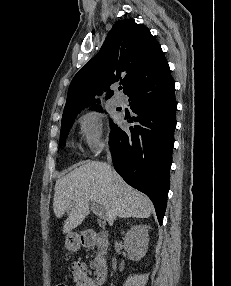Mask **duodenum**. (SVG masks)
<instances>
[{"instance_id":"duodenum-1","label":"duodenum","mask_w":231,"mask_h":286,"mask_svg":"<svg viewBox=\"0 0 231 286\" xmlns=\"http://www.w3.org/2000/svg\"><path fill=\"white\" fill-rule=\"evenodd\" d=\"M99 237V235L93 231L84 232L81 235V243L85 247L91 246ZM107 278V267L104 264H99L94 272V280L97 286L104 284Z\"/></svg>"}]
</instances>
